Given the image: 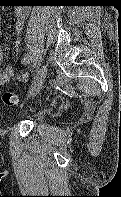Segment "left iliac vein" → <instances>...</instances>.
<instances>
[{
  "instance_id": "left-iliac-vein-1",
  "label": "left iliac vein",
  "mask_w": 121,
  "mask_h": 197,
  "mask_svg": "<svg viewBox=\"0 0 121 197\" xmlns=\"http://www.w3.org/2000/svg\"><path fill=\"white\" fill-rule=\"evenodd\" d=\"M47 71H48L47 65H43L37 71V73L32 81V84L30 86V89L28 91V97L35 96L39 92V90L41 89L43 82L46 78Z\"/></svg>"
}]
</instances>
